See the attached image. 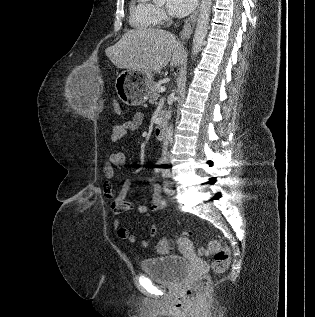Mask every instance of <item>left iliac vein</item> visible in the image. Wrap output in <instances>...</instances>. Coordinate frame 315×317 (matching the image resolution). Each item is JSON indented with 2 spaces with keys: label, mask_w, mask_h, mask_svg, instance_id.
I'll return each instance as SVG.
<instances>
[{
  "label": "left iliac vein",
  "mask_w": 315,
  "mask_h": 317,
  "mask_svg": "<svg viewBox=\"0 0 315 317\" xmlns=\"http://www.w3.org/2000/svg\"><path fill=\"white\" fill-rule=\"evenodd\" d=\"M167 193H168V194H170V195H172V194H174V190H173V189L168 188Z\"/></svg>",
  "instance_id": "1"
}]
</instances>
